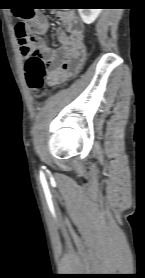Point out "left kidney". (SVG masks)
Wrapping results in <instances>:
<instances>
[{
	"instance_id": "left-kidney-1",
	"label": "left kidney",
	"mask_w": 145,
	"mask_h": 278,
	"mask_svg": "<svg viewBox=\"0 0 145 278\" xmlns=\"http://www.w3.org/2000/svg\"><path fill=\"white\" fill-rule=\"evenodd\" d=\"M78 11L83 22L91 24L97 19L102 9H78Z\"/></svg>"
}]
</instances>
